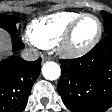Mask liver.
Segmentation results:
<instances>
[{
    "instance_id": "obj_1",
    "label": "liver",
    "mask_w": 112,
    "mask_h": 112,
    "mask_svg": "<svg viewBox=\"0 0 112 112\" xmlns=\"http://www.w3.org/2000/svg\"><path fill=\"white\" fill-rule=\"evenodd\" d=\"M10 51V38L8 33L0 29V59Z\"/></svg>"
}]
</instances>
